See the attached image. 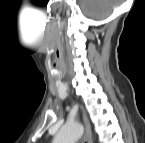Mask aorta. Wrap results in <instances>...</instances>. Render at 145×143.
I'll list each match as a JSON object with an SVG mask.
<instances>
[{"instance_id":"obj_1","label":"aorta","mask_w":145,"mask_h":143,"mask_svg":"<svg viewBox=\"0 0 145 143\" xmlns=\"http://www.w3.org/2000/svg\"><path fill=\"white\" fill-rule=\"evenodd\" d=\"M83 134L80 123L64 125L54 138L55 143H76Z\"/></svg>"}]
</instances>
